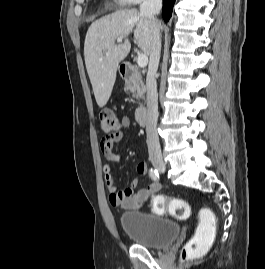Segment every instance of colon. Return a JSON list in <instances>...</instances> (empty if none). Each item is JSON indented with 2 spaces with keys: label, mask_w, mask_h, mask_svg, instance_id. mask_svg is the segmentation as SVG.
I'll return each instance as SVG.
<instances>
[{
  "label": "colon",
  "mask_w": 265,
  "mask_h": 269,
  "mask_svg": "<svg viewBox=\"0 0 265 269\" xmlns=\"http://www.w3.org/2000/svg\"><path fill=\"white\" fill-rule=\"evenodd\" d=\"M102 131L107 137L121 132L122 122L109 109H103L99 113ZM152 211L158 214L169 213L178 219H187L190 215V205L187 201L170 198L166 195H156L151 200ZM202 222L198 226L195 235L184 245L182 259L195 257L212 239L215 227V217L210 210H202Z\"/></svg>",
  "instance_id": "colon-1"
}]
</instances>
